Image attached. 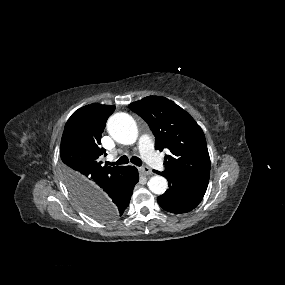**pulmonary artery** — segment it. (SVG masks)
Segmentation results:
<instances>
[{"label":"pulmonary artery","instance_id":"obj_1","mask_svg":"<svg viewBox=\"0 0 285 285\" xmlns=\"http://www.w3.org/2000/svg\"><path fill=\"white\" fill-rule=\"evenodd\" d=\"M137 144L140 154L148 165L158 170L164 169L163 161L154 151L153 141L149 135L142 134Z\"/></svg>","mask_w":285,"mask_h":285}]
</instances>
